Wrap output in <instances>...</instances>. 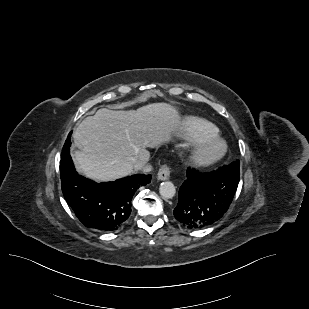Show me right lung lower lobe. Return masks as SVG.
Returning a JSON list of instances; mask_svg holds the SVG:
<instances>
[{
	"instance_id": "right-lung-lower-lobe-1",
	"label": "right lung lower lobe",
	"mask_w": 309,
	"mask_h": 309,
	"mask_svg": "<svg viewBox=\"0 0 309 309\" xmlns=\"http://www.w3.org/2000/svg\"><path fill=\"white\" fill-rule=\"evenodd\" d=\"M71 133L65 141L60 161L64 198L86 227L115 231L130 216L131 199L135 191L150 183L151 175H133L100 184L80 176L75 171L69 153Z\"/></svg>"
}]
</instances>
